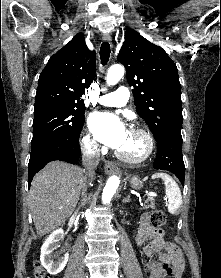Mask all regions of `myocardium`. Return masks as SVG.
<instances>
[{
  "mask_svg": "<svg viewBox=\"0 0 221 278\" xmlns=\"http://www.w3.org/2000/svg\"><path fill=\"white\" fill-rule=\"evenodd\" d=\"M130 132L139 134L144 138L145 146H146L144 154L138 158H131V157L124 155L119 150H116L115 155L118 159H120L121 161H123L125 163L131 164V165H139V164H142V163L148 161L151 158V156L153 155L154 140H153L152 135L145 129L135 127V128H132L130 130Z\"/></svg>",
  "mask_w": 221,
  "mask_h": 278,
  "instance_id": "f54148a6",
  "label": "myocardium"
}]
</instances>
